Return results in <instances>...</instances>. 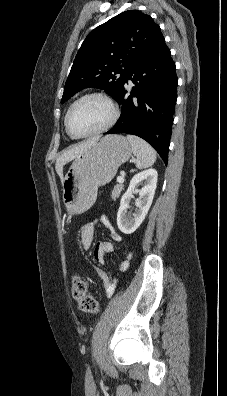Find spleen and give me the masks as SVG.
<instances>
[{"label":"spleen","mask_w":227,"mask_h":396,"mask_svg":"<svg viewBox=\"0 0 227 396\" xmlns=\"http://www.w3.org/2000/svg\"><path fill=\"white\" fill-rule=\"evenodd\" d=\"M135 158V164L138 169L152 166L156 161V152L154 149L141 138L134 135H127Z\"/></svg>","instance_id":"spleen-1"}]
</instances>
